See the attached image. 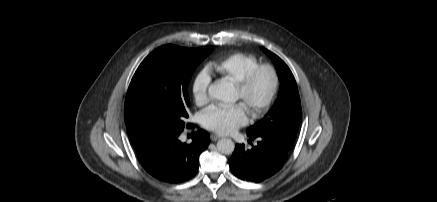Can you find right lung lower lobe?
<instances>
[{"label":"right lung lower lobe","mask_w":437,"mask_h":202,"mask_svg":"<svg viewBox=\"0 0 437 202\" xmlns=\"http://www.w3.org/2000/svg\"><path fill=\"white\" fill-rule=\"evenodd\" d=\"M193 128V125H188ZM184 129V128H183ZM181 130H173L137 151L144 169L156 179L167 183H179L192 178L198 170V157L209 143L208 133L199 129L189 144L179 140Z\"/></svg>","instance_id":"1"}]
</instances>
